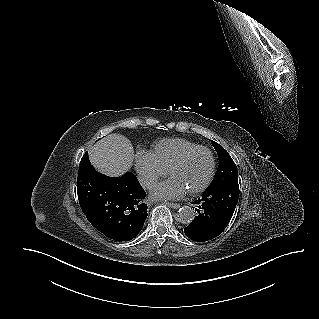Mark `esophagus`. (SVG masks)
Returning a JSON list of instances; mask_svg holds the SVG:
<instances>
[{"label":"esophagus","mask_w":319,"mask_h":319,"mask_svg":"<svg viewBox=\"0 0 319 319\" xmlns=\"http://www.w3.org/2000/svg\"><path fill=\"white\" fill-rule=\"evenodd\" d=\"M166 205H168L171 208L177 209L180 207L178 203H171V202H166Z\"/></svg>","instance_id":"esophagus-1"}]
</instances>
